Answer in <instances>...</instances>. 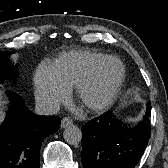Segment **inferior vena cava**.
Returning a JSON list of instances; mask_svg holds the SVG:
<instances>
[{
	"mask_svg": "<svg viewBox=\"0 0 168 168\" xmlns=\"http://www.w3.org/2000/svg\"><path fill=\"white\" fill-rule=\"evenodd\" d=\"M59 111V106L49 101H39L35 105V112L38 115H53Z\"/></svg>",
	"mask_w": 168,
	"mask_h": 168,
	"instance_id": "602c4592",
	"label": "inferior vena cava"
}]
</instances>
